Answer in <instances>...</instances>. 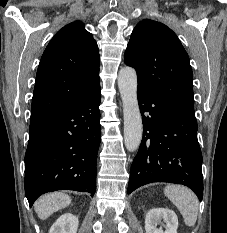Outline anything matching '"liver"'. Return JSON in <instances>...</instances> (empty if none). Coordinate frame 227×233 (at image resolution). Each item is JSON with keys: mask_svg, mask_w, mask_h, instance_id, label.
I'll use <instances>...</instances> for the list:
<instances>
[{"mask_svg": "<svg viewBox=\"0 0 227 233\" xmlns=\"http://www.w3.org/2000/svg\"><path fill=\"white\" fill-rule=\"evenodd\" d=\"M70 203V196L61 192H54L39 198L34 208L38 217L41 220H45L54 212L67 207Z\"/></svg>", "mask_w": 227, "mask_h": 233, "instance_id": "6515ba94", "label": "liver"}]
</instances>
